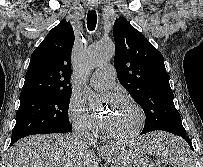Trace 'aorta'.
Wrapping results in <instances>:
<instances>
[{
	"mask_svg": "<svg viewBox=\"0 0 203 167\" xmlns=\"http://www.w3.org/2000/svg\"><path fill=\"white\" fill-rule=\"evenodd\" d=\"M114 54L115 46L111 40H101L89 46L79 66L81 80L83 81L91 70L108 62ZM84 94L91 102L97 101L99 97L98 94L91 91L87 86L84 87Z\"/></svg>",
	"mask_w": 203,
	"mask_h": 167,
	"instance_id": "762f6f07",
	"label": "aorta"
}]
</instances>
